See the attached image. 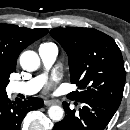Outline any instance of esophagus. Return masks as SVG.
<instances>
[{"label": "esophagus", "instance_id": "1", "mask_svg": "<svg viewBox=\"0 0 130 130\" xmlns=\"http://www.w3.org/2000/svg\"><path fill=\"white\" fill-rule=\"evenodd\" d=\"M59 103H60V102L57 101V100H46V101L44 102V104H45L46 106H51V105L59 104Z\"/></svg>", "mask_w": 130, "mask_h": 130}]
</instances>
